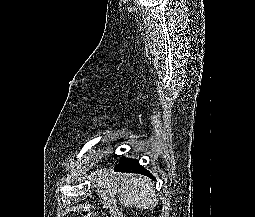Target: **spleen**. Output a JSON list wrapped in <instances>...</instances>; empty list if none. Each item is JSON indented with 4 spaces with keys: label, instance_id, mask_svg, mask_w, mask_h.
<instances>
[{
    "label": "spleen",
    "instance_id": "obj_1",
    "mask_svg": "<svg viewBox=\"0 0 255 217\" xmlns=\"http://www.w3.org/2000/svg\"><path fill=\"white\" fill-rule=\"evenodd\" d=\"M118 194L120 202L126 207L150 209L158 202L152 183L137 175L122 176Z\"/></svg>",
    "mask_w": 255,
    "mask_h": 217
}]
</instances>
